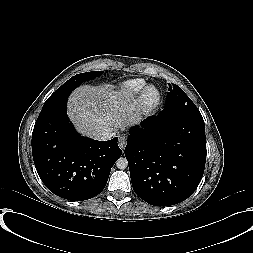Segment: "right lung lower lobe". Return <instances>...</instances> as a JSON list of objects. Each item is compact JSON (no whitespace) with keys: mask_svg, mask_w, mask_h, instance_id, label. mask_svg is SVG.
<instances>
[{"mask_svg":"<svg viewBox=\"0 0 253 253\" xmlns=\"http://www.w3.org/2000/svg\"><path fill=\"white\" fill-rule=\"evenodd\" d=\"M66 105L67 99L42 108L32 133L33 160L51 192L83 201L101 193L122 151L117 137L97 141L79 135L67 117Z\"/></svg>","mask_w":253,"mask_h":253,"instance_id":"right-lung-lower-lobe-1","label":"right lung lower lobe"}]
</instances>
